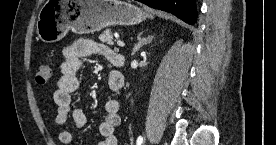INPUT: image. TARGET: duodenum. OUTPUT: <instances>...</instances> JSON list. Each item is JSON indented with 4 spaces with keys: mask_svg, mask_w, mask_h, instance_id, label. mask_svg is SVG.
I'll return each mask as SVG.
<instances>
[{
    "mask_svg": "<svg viewBox=\"0 0 276 145\" xmlns=\"http://www.w3.org/2000/svg\"><path fill=\"white\" fill-rule=\"evenodd\" d=\"M112 62L115 66L121 67L125 64V56L122 54H115L112 58ZM124 85V76L120 71H116V75L111 79L110 86L113 89H120Z\"/></svg>",
    "mask_w": 276,
    "mask_h": 145,
    "instance_id": "1",
    "label": "duodenum"
}]
</instances>
